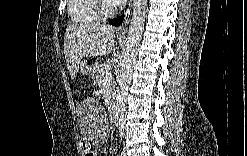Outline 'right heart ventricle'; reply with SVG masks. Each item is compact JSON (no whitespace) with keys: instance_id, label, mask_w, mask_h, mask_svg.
<instances>
[{"instance_id":"obj_1","label":"right heart ventricle","mask_w":247,"mask_h":156,"mask_svg":"<svg viewBox=\"0 0 247 156\" xmlns=\"http://www.w3.org/2000/svg\"><path fill=\"white\" fill-rule=\"evenodd\" d=\"M94 0H72L68 4L70 20L75 25L92 24L99 21Z\"/></svg>"}]
</instances>
